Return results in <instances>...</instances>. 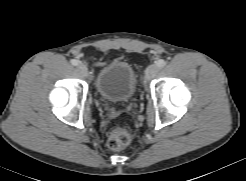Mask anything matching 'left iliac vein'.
I'll list each match as a JSON object with an SVG mask.
<instances>
[{"instance_id":"obj_1","label":"left iliac vein","mask_w":246,"mask_h":181,"mask_svg":"<svg viewBox=\"0 0 246 181\" xmlns=\"http://www.w3.org/2000/svg\"><path fill=\"white\" fill-rule=\"evenodd\" d=\"M159 71V67L156 64H151L147 67L145 77L147 80L153 78Z\"/></svg>"}]
</instances>
